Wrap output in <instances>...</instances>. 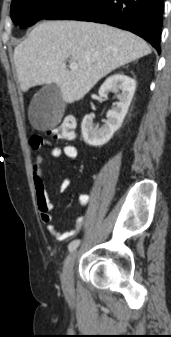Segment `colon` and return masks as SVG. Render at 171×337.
<instances>
[{
  "instance_id": "1",
  "label": "colon",
  "mask_w": 171,
  "mask_h": 337,
  "mask_svg": "<svg viewBox=\"0 0 171 337\" xmlns=\"http://www.w3.org/2000/svg\"><path fill=\"white\" fill-rule=\"evenodd\" d=\"M76 121L73 117H66L60 125L52 128L48 134L56 140H72L75 137Z\"/></svg>"
}]
</instances>
